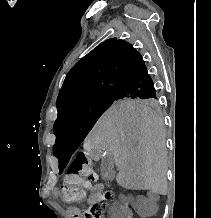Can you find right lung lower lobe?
<instances>
[{
    "instance_id": "obj_1",
    "label": "right lung lower lobe",
    "mask_w": 211,
    "mask_h": 218,
    "mask_svg": "<svg viewBox=\"0 0 211 218\" xmlns=\"http://www.w3.org/2000/svg\"><path fill=\"white\" fill-rule=\"evenodd\" d=\"M117 96L148 98H155L158 96L145 64L123 84Z\"/></svg>"
}]
</instances>
